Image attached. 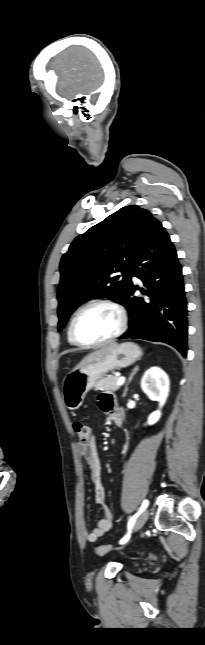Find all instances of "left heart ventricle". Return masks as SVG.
<instances>
[{
  "label": "left heart ventricle",
  "instance_id": "b2bd125f",
  "mask_svg": "<svg viewBox=\"0 0 205 645\" xmlns=\"http://www.w3.org/2000/svg\"><path fill=\"white\" fill-rule=\"evenodd\" d=\"M118 323V315L113 309L106 306H92L79 315L75 329L82 341L96 342L113 334Z\"/></svg>",
  "mask_w": 205,
  "mask_h": 645
}]
</instances>
